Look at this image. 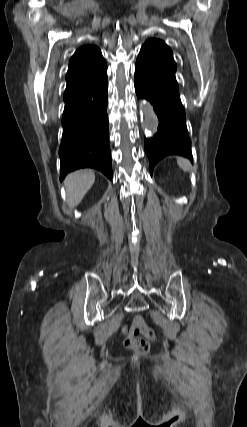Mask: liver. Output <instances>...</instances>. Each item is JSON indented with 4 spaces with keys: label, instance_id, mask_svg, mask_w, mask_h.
<instances>
[{
    "label": "liver",
    "instance_id": "obj_1",
    "mask_svg": "<svg viewBox=\"0 0 247 427\" xmlns=\"http://www.w3.org/2000/svg\"><path fill=\"white\" fill-rule=\"evenodd\" d=\"M95 181V174L92 170L83 169L70 173L65 181L67 192V204L69 207L77 206Z\"/></svg>",
    "mask_w": 247,
    "mask_h": 427
}]
</instances>
